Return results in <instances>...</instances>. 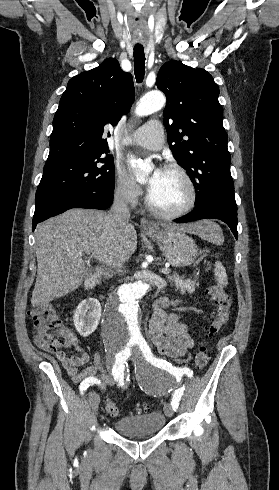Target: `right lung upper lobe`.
Here are the masks:
<instances>
[{
    "label": "right lung upper lobe",
    "mask_w": 279,
    "mask_h": 490,
    "mask_svg": "<svg viewBox=\"0 0 279 490\" xmlns=\"http://www.w3.org/2000/svg\"><path fill=\"white\" fill-rule=\"evenodd\" d=\"M134 95L131 74L114 58L70 79L54 116L47 162L108 149L104 126L118 123Z\"/></svg>",
    "instance_id": "cb5924a9"
}]
</instances>
